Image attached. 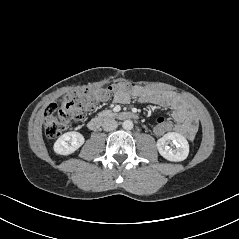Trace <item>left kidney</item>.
I'll list each match as a JSON object with an SVG mask.
<instances>
[{
	"label": "left kidney",
	"mask_w": 239,
	"mask_h": 239,
	"mask_svg": "<svg viewBox=\"0 0 239 239\" xmlns=\"http://www.w3.org/2000/svg\"><path fill=\"white\" fill-rule=\"evenodd\" d=\"M173 143L174 149L168 146ZM157 149L161 156L173 162L183 161L189 154V144L184 136L176 132H169L157 141Z\"/></svg>",
	"instance_id": "1"
}]
</instances>
